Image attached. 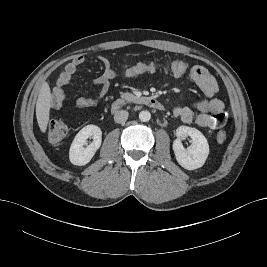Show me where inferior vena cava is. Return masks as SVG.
I'll return each mask as SVG.
<instances>
[{"mask_svg":"<svg viewBox=\"0 0 267 267\" xmlns=\"http://www.w3.org/2000/svg\"><path fill=\"white\" fill-rule=\"evenodd\" d=\"M128 111L126 110H120L117 111L114 115V121L116 123H125V121L128 119Z\"/></svg>","mask_w":267,"mask_h":267,"instance_id":"1","label":"inferior vena cava"}]
</instances>
